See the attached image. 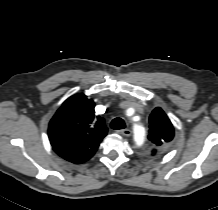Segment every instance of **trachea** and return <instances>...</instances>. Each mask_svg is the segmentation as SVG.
Wrapping results in <instances>:
<instances>
[{
  "instance_id": "1",
  "label": "trachea",
  "mask_w": 218,
  "mask_h": 210,
  "mask_svg": "<svg viewBox=\"0 0 218 210\" xmlns=\"http://www.w3.org/2000/svg\"><path fill=\"white\" fill-rule=\"evenodd\" d=\"M125 127L126 125H125L124 120L119 117L113 119L111 122V128L114 130L124 129Z\"/></svg>"
}]
</instances>
